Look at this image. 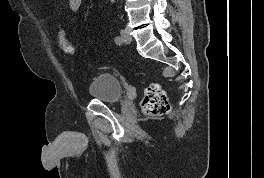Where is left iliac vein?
Returning a JSON list of instances; mask_svg holds the SVG:
<instances>
[{
    "instance_id": "1",
    "label": "left iliac vein",
    "mask_w": 264,
    "mask_h": 178,
    "mask_svg": "<svg viewBox=\"0 0 264 178\" xmlns=\"http://www.w3.org/2000/svg\"><path fill=\"white\" fill-rule=\"evenodd\" d=\"M121 38H122V42L125 44H129L132 41L131 36L128 34V32L126 30H121Z\"/></svg>"
}]
</instances>
